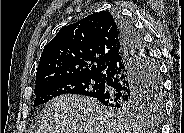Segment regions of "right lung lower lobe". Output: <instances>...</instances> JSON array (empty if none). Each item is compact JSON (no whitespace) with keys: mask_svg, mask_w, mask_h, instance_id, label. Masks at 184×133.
<instances>
[{"mask_svg":"<svg viewBox=\"0 0 184 133\" xmlns=\"http://www.w3.org/2000/svg\"><path fill=\"white\" fill-rule=\"evenodd\" d=\"M116 19L121 29V47L103 73V91L94 97L109 107L142 101L151 81L147 55L150 51L129 22L120 15H116Z\"/></svg>","mask_w":184,"mask_h":133,"instance_id":"right-lung-lower-lobe-1","label":"right lung lower lobe"}]
</instances>
